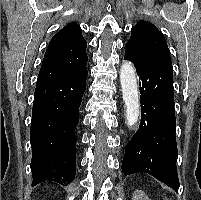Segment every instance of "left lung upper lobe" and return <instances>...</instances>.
I'll list each match as a JSON object with an SVG mask.
<instances>
[{
    "label": "left lung upper lobe",
    "instance_id": "5c2ea615",
    "mask_svg": "<svg viewBox=\"0 0 201 200\" xmlns=\"http://www.w3.org/2000/svg\"><path fill=\"white\" fill-rule=\"evenodd\" d=\"M125 57L140 66L171 65L163 34L146 21H139L131 29V37L125 44Z\"/></svg>",
    "mask_w": 201,
    "mask_h": 200
}]
</instances>
